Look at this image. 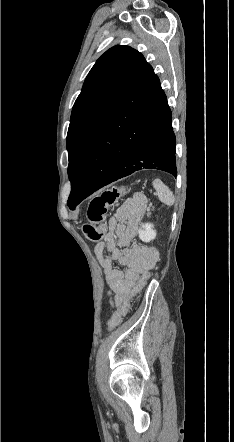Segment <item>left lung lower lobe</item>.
<instances>
[{
	"label": "left lung lower lobe",
	"instance_id": "left-lung-lower-lobe-1",
	"mask_svg": "<svg viewBox=\"0 0 234 442\" xmlns=\"http://www.w3.org/2000/svg\"><path fill=\"white\" fill-rule=\"evenodd\" d=\"M160 81L148 64L98 130L86 152L71 210L87 196L142 168L176 177V139Z\"/></svg>",
	"mask_w": 234,
	"mask_h": 442
}]
</instances>
